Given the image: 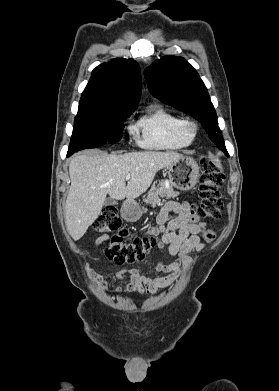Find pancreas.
Segmentation results:
<instances>
[{
	"instance_id": "1",
	"label": "pancreas",
	"mask_w": 279,
	"mask_h": 391,
	"mask_svg": "<svg viewBox=\"0 0 279 391\" xmlns=\"http://www.w3.org/2000/svg\"><path fill=\"white\" fill-rule=\"evenodd\" d=\"M179 195V192L174 191L172 187H167V182L162 180L157 185H153L148 191L147 196H144L143 201L150 206H155L160 203L161 198L171 199L176 198ZM144 212L147 211L146 208H142Z\"/></svg>"
}]
</instances>
